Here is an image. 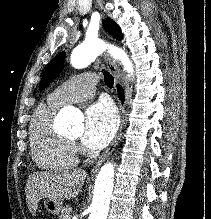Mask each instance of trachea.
<instances>
[{
  "mask_svg": "<svg viewBox=\"0 0 211 219\" xmlns=\"http://www.w3.org/2000/svg\"><path fill=\"white\" fill-rule=\"evenodd\" d=\"M103 75H104V81L105 84L109 87L112 88L114 84V78L113 76L106 70H102Z\"/></svg>",
  "mask_w": 211,
  "mask_h": 219,
  "instance_id": "3493384b",
  "label": "trachea"
}]
</instances>
